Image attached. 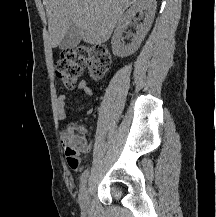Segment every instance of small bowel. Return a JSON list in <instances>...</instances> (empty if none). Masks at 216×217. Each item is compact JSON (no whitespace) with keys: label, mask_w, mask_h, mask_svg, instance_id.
<instances>
[{"label":"small bowel","mask_w":216,"mask_h":217,"mask_svg":"<svg viewBox=\"0 0 216 217\" xmlns=\"http://www.w3.org/2000/svg\"><path fill=\"white\" fill-rule=\"evenodd\" d=\"M76 89L78 91H80L82 94H84V95H86L88 97H93V95H94L93 89L91 88V86L89 85V83L87 81L79 82ZM66 99H67V94L64 93V94H61L58 97V100H57L58 118L60 120H64L66 118ZM86 113L91 114L92 113V108L88 107L86 109ZM81 131L84 134H86L88 132L86 127H82ZM67 133H68L67 126H63L62 130H61V139H62L63 143H64V140L66 138Z\"/></svg>","instance_id":"c3829d8e"}]
</instances>
